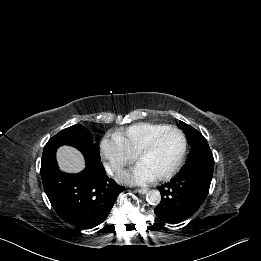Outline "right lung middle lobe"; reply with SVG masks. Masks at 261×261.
Masks as SVG:
<instances>
[{
	"instance_id": "1",
	"label": "right lung middle lobe",
	"mask_w": 261,
	"mask_h": 261,
	"mask_svg": "<svg viewBox=\"0 0 261 261\" xmlns=\"http://www.w3.org/2000/svg\"><path fill=\"white\" fill-rule=\"evenodd\" d=\"M79 140H84L90 151L99 156V146L93 144L91 133L82 125L76 124L60 131L48 141L43 150L42 162L46 163L53 160L59 146H75Z\"/></svg>"
}]
</instances>
